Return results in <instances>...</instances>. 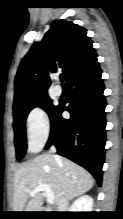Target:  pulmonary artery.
<instances>
[{"mask_svg": "<svg viewBox=\"0 0 123 219\" xmlns=\"http://www.w3.org/2000/svg\"><path fill=\"white\" fill-rule=\"evenodd\" d=\"M54 93L58 96L61 95L62 94V88L60 86H55L54 87Z\"/></svg>", "mask_w": 123, "mask_h": 219, "instance_id": "obj_1", "label": "pulmonary artery"}]
</instances>
